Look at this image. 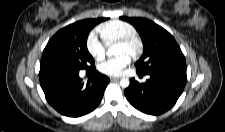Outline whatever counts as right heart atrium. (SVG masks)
<instances>
[{
	"mask_svg": "<svg viewBox=\"0 0 225 132\" xmlns=\"http://www.w3.org/2000/svg\"><path fill=\"white\" fill-rule=\"evenodd\" d=\"M86 48L89 54L96 60H101L105 57V45L100 41L94 32L88 35L86 39Z\"/></svg>",
	"mask_w": 225,
	"mask_h": 132,
	"instance_id": "right-heart-atrium-1",
	"label": "right heart atrium"
}]
</instances>
